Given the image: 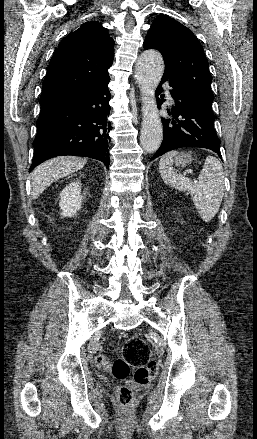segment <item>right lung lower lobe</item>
Listing matches in <instances>:
<instances>
[{"instance_id": "right-lung-lower-lobe-1", "label": "right lung lower lobe", "mask_w": 257, "mask_h": 439, "mask_svg": "<svg viewBox=\"0 0 257 439\" xmlns=\"http://www.w3.org/2000/svg\"><path fill=\"white\" fill-rule=\"evenodd\" d=\"M109 81L107 77L90 87L40 103L29 172L45 160L61 155L94 158L109 168Z\"/></svg>"}]
</instances>
